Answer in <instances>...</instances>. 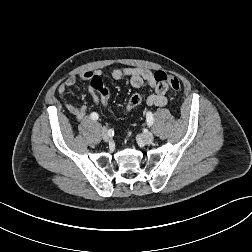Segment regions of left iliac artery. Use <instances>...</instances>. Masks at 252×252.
Returning <instances> with one entry per match:
<instances>
[{
	"instance_id": "left-iliac-artery-1",
	"label": "left iliac artery",
	"mask_w": 252,
	"mask_h": 252,
	"mask_svg": "<svg viewBox=\"0 0 252 252\" xmlns=\"http://www.w3.org/2000/svg\"><path fill=\"white\" fill-rule=\"evenodd\" d=\"M146 121H147L148 126H151L153 124L154 118L151 112H147Z\"/></svg>"
}]
</instances>
